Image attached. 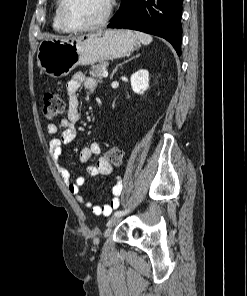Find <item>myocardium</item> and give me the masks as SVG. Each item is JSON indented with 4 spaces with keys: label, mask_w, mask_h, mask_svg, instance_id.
Returning a JSON list of instances; mask_svg holds the SVG:
<instances>
[{
    "label": "myocardium",
    "mask_w": 247,
    "mask_h": 296,
    "mask_svg": "<svg viewBox=\"0 0 247 296\" xmlns=\"http://www.w3.org/2000/svg\"><path fill=\"white\" fill-rule=\"evenodd\" d=\"M68 2L69 0H61L60 6H59V22L62 28L66 32L80 33V32L93 31V30L104 27L111 19L112 12H113V0H106V11L101 20L87 26H81V27L73 26L68 22L66 17V8L68 5Z\"/></svg>",
    "instance_id": "1"
}]
</instances>
